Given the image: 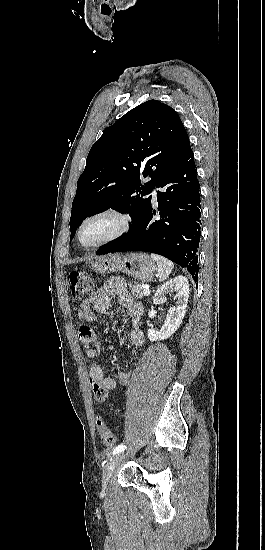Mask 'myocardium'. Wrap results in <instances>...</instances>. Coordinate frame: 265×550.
<instances>
[{
  "label": "myocardium",
  "mask_w": 265,
  "mask_h": 550,
  "mask_svg": "<svg viewBox=\"0 0 265 550\" xmlns=\"http://www.w3.org/2000/svg\"><path fill=\"white\" fill-rule=\"evenodd\" d=\"M100 217H110V218H112L115 222L114 229L112 230V232L110 234H108L103 239H101V240H99V241H97L93 244H90V245H84L81 242V233H82L83 229L91 221H93L97 218H100ZM131 224H132V220H131V217L128 214H126V213H124V212H122L118 209H115V208L101 209V210H98V211L88 215L86 218H84L82 220V222L79 224V226L76 230L75 239H76L77 244L81 248H83L85 250L95 249V248L110 244V243L118 240L119 238H121L130 229Z\"/></svg>",
  "instance_id": "1"
}]
</instances>
